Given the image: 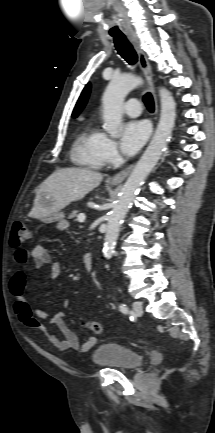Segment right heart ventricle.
Segmentation results:
<instances>
[{
	"instance_id": "obj_1",
	"label": "right heart ventricle",
	"mask_w": 215,
	"mask_h": 433,
	"mask_svg": "<svg viewBox=\"0 0 215 433\" xmlns=\"http://www.w3.org/2000/svg\"><path fill=\"white\" fill-rule=\"evenodd\" d=\"M104 134L95 123H87L78 135L72 149L73 160L82 166L98 169L105 161L101 148Z\"/></svg>"
}]
</instances>
